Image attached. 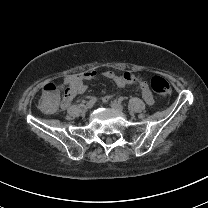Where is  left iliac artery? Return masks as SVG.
I'll return each mask as SVG.
<instances>
[{
	"label": "left iliac artery",
	"instance_id": "obj_1",
	"mask_svg": "<svg viewBox=\"0 0 208 208\" xmlns=\"http://www.w3.org/2000/svg\"><path fill=\"white\" fill-rule=\"evenodd\" d=\"M123 100H124L123 97H119V98H118V102H122Z\"/></svg>",
	"mask_w": 208,
	"mask_h": 208
}]
</instances>
